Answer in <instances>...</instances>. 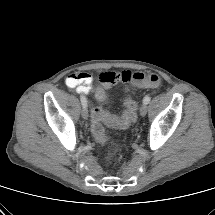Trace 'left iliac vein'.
<instances>
[{
  "instance_id": "obj_1",
  "label": "left iliac vein",
  "mask_w": 215,
  "mask_h": 215,
  "mask_svg": "<svg viewBox=\"0 0 215 215\" xmlns=\"http://www.w3.org/2000/svg\"><path fill=\"white\" fill-rule=\"evenodd\" d=\"M140 114H141V116H143V117L147 114V106H146V104H144V103H143V105H142L141 108H140Z\"/></svg>"
}]
</instances>
